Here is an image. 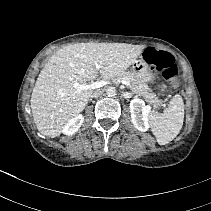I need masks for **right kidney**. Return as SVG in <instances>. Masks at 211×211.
<instances>
[{"mask_svg": "<svg viewBox=\"0 0 211 211\" xmlns=\"http://www.w3.org/2000/svg\"><path fill=\"white\" fill-rule=\"evenodd\" d=\"M83 121H84V117L81 114L75 116L64 126L62 132L65 135L75 134L78 131V129L81 127Z\"/></svg>", "mask_w": 211, "mask_h": 211, "instance_id": "right-kidney-1", "label": "right kidney"}]
</instances>
